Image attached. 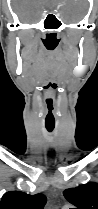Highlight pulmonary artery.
<instances>
[{"mask_svg": "<svg viewBox=\"0 0 98 209\" xmlns=\"http://www.w3.org/2000/svg\"><path fill=\"white\" fill-rule=\"evenodd\" d=\"M63 209H67V207H63Z\"/></svg>", "mask_w": 98, "mask_h": 209, "instance_id": "1", "label": "pulmonary artery"}]
</instances>
